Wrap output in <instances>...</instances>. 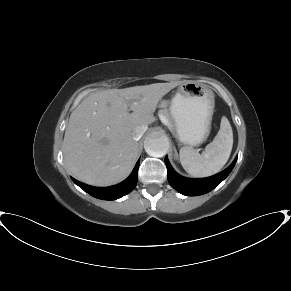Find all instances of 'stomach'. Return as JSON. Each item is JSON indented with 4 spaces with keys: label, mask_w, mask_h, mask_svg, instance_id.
Returning a JSON list of instances; mask_svg holds the SVG:
<instances>
[{
    "label": "stomach",
    "mask_w": 291,
    "mask_h": 291,
    "mask_svg": "<svg viewBox=\"0 0 291 291\" xmlns=\"http://www.w3.org/2000/svg\"><path fill=\"white\" fill-rule=\"evenodd\" d=\"M214 92L193 81L181 83L170 105V117L180 143L194 147L210 134L214 113Z\"/></svg>",
    "instance_id": "0dacf381"
}]
</instances>
